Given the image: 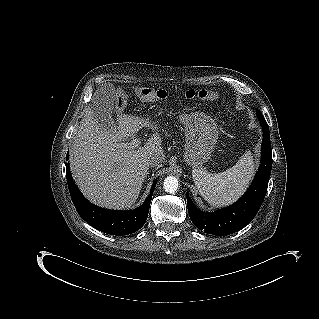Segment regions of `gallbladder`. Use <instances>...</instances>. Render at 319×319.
<instances>
[{
	"label": "gallbladder",
	"mask_w": 319,
	"mask_h": 319,
	"mask_svg": "<svg viewBox=\"0 0 319 319\" xmlns=\"http://www.w3.org/2000/svg\"><path fill=\"white\" fill-rule=\"evenodd\" d=\"M91 108L95 112L96 118L102 127L111 129L117 125L112 118L113 111V87H102L98 90L91 102Z\"/></svg>",
	"instance_id": "1"
}]
</instances>
